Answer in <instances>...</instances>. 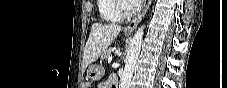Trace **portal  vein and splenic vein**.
Masks as SVG:
<instances>
[{"label": "portal vein and splenic vein", "mask_w": 227, "mask_h": 88, "mask_svg": "<svg viewBox=\"0 0 227 88\" xmlns=\"http://www.w3.org/2000/svg\"><path fill=\"white\" fill-rule=\"evenodd\" d=\"M112 61V56L108 57V62L110 63Z\"/></svg>", "instance_id": "obj_1"}]
</instances>
